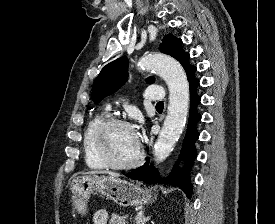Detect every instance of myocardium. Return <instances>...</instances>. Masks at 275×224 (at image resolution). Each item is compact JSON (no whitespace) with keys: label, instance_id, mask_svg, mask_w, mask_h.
Masks as SVG:
<instances>
[{"label":"myocardium","instance_id":"1","mask_svg":"<svg viewBox=\"0 0 275 224\" xmlns=\"http://www.w3.org/2000/svg\"><path fill=\"white\" fill-rule=\"evenodd\" d=\"M127 126L131 127L129 122L120 118V117H109L105 119L102 123L98 125L94 132L93 136V145L97 155L105 163L107 167L117 169V170H126L137 167L144 158V150L142 144L139 142V149L137 156L125 163L116 162L110 154L109 147L107 144V135L108 132L115 126Z\"/></svg>","mask_w":275,"mask_h":224}]
</instances>
